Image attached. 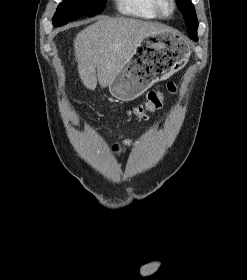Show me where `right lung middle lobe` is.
<instances>
[{"mask_svg":"<svg viewBox=\"0 0 247 280\" xmlns=\"http://www.w3.org/2000/svg\"><path fill=\"white\" fill-rule=\"evenodd\" d=\"M106 0H64L53 17L55 26L67 24L80 16H94L103 11Z\"/></svg>","mask_w":247,"mask_h":280,"instance_id":"right-lung-middle-lobe-1","label":"right lung middle lobe"}]
</instances>
